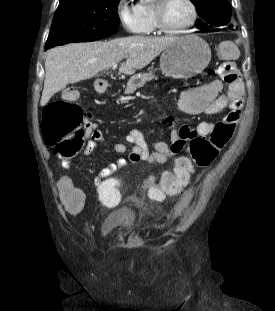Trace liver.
<instances>
[{"instance_id": "liver-1", "label": "liver", "mask_w": 275, "mask_h": 311, "mask_svg": "<svg viewBox=\"0 0 275 311\" xmlns=\"http://www.w3.org/2000/svg\"><path fill=\"white\" fill-rule=\"evenodd\" d=\"M177 37L130 36L109 42L75 43L51 49L45 61V80L40 104L69 84L90 79L116 66L124 57L119 72L132 75L146 67Z\"/></svg>"}]
</instances>
